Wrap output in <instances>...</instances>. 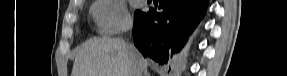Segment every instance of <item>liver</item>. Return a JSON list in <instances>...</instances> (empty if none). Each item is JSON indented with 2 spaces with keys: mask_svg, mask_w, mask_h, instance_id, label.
<instances>
[{
  "mask_svg": "<svg viewBox=\"0 0 287 76\" xmlns=\"http://www.w3.org/2000/svg\"><path fill=\"white\" fill-rule=\"evenodd\" d=\"M134 59L144 76L149 74L147 60L137 49ZM71 76H132V61L126 43L110 37L86 41L76 53Z\"/></svg>",
  "mask_w": 287,
  "mask_h": 76,
  "instance_id": "6515ba94",
  "label": "liver"
}]
</instances>
